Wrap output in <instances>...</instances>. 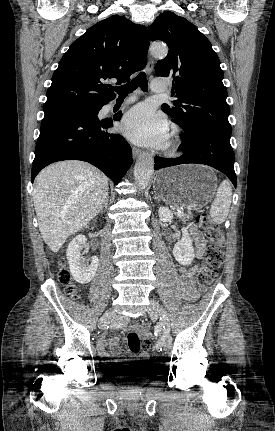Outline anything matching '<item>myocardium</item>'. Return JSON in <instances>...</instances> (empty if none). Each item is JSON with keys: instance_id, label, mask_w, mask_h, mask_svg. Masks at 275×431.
<instances>
[{"instance_id": "f54148a6", "label": "myocardium", "mask_w": 275, "mask_h": 431, "mask_svg": "<svg viewBox=\"0 0 275 431\" xmlns=\"http://www.w3.org/2000/svg\"><path fill=\"white\" fill-rule=\"evenodd\" d=\"M181 143L180 130L177 126H173L170 138L164 148L166 155L175 156L181 147Z\"/></svg>"}]
</instances>
